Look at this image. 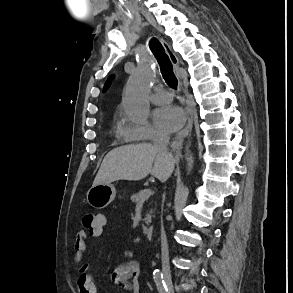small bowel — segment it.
<instances>
[{
	"instance_id": "small-bowel-1",
	"label": "small bowel",
	"mask_w": 293,
	"mask_h": 293,
	"mask_svg": "<svg viewBox=\"0 0 293 293\" xmlns=\"http://www.w3.org/2000/svg\"><path fill=\"white\" fill-rule=\"evenodd\" d=\"M102 219V228L99 232L91 234L94 237H101L106 225V218L99 215ZM87 233L80 230L76 233L74 239L75 259L81 267V275L77 279V286L79 293H96V287L90 275L86 273L87 264L82 263V259L87 252ZM140 266L136 261H129L117 266L113 272V281L115 284L122 286L128 293H140ZM94 291V292H92Z\"/></svg>"
}]
</instances>
